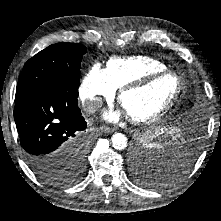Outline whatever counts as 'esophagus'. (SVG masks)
<instances>
[{"mask_svg": "<svg viewBox=\"0 0 221 221\" xmlns=\"http://www.w3.org/2000/svg\"><path fill=\"white\" fill-rule=\"evenodd\" d=\"M100 130H101V132H103V133H111V132H113V129L110 128V127H108V126H101V127H100Z\"/></svg>", "mask_w": 221, "mask_h": 221, "instance_id": "esophagus-1", "label": "esophagus"}]
</instances>
